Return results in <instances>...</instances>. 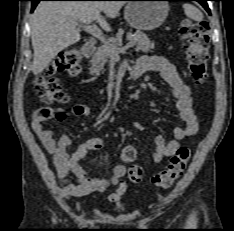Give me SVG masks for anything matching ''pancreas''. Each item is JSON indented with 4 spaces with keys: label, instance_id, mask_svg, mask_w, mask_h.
<instances>
[{
    "label": "pancreas",
    "instance_id": "1",
    "mask_svg": "<svg viewBox=\"0 0 234 231\" xmlns=\"http://www.w3.org/2000/svg\"><path fill=\"white\" fill-rule=\"evenodd\" d=\"M128 39L136 44V51L148 53L154 49V43L142 32H136L134 35L128 33ZM108 42L109 45L103 44L100 46L92 57L89 69L90 74L99 75L103 66L114 56L116 49L120 48L122 44L121 33H118L115 38H110Z\"/></svg>",
    "mask_w": 234,
    "mask_h": 231
}]
</instances>
